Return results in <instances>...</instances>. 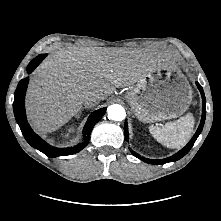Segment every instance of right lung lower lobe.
<instances>
[{
  "label": "right lung lower lobe",
  "instance_id": "right-lung-lower-lobe-1",
  "mask_svg": "<svg viewBox=\"0 0 221 221\" xmlns=\"http://www.w3.org/2000/svg\"><path fill=\"white\" fill-rule=\"evenodd\" d=\"M46 57V54H40L34 58L27 67V72L30 74ZM29 78L22 79L15 91V98L13 103V110L16 121L26 139V141L34 148L38 149L48 157L54 158L57 156L71 155L81 151L88 143L90 133L94 125L103 117L106 112V108L99 109L93 112L83 129V135L85 140L83 143L74 146L73 148H55L47 144L43 139H41L29 126L24 107V98L27 89Z\"/></svg>",
  "mask_w": 221,
  "mask_h": 221
}]
</instances>
